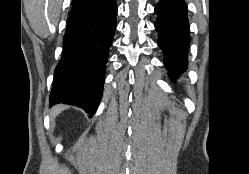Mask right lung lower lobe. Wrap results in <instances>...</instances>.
<instances>
[{
  "instance_id": "right-lung-lower-lobe-1",
  "label": "right lung lower lobe",
  "mask_w": 249,
  "mask_h": 174,
  "mask_svg": "<svg viewBox=\"0 0 249 174\" xmlns=\"http://www.w3.org/2000/svg\"><path fill=\"white\" fill-rule=\"evenodd\" d=\"M115 0H98L71 10L63 38V54L54 75L51 106L75 105L90 116L100 103L108 50L116 28Z\"/></svg>"
}]
</instances>
